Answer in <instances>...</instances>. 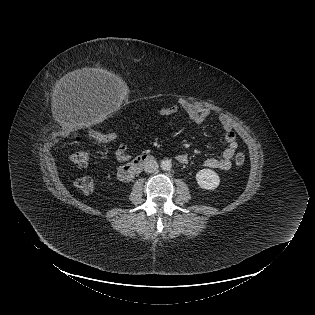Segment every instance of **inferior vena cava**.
<instances>
[{
	"instance_id": "1",
	"label": "inferior vena cava",
	"mask_w": 315,
	"mask_h": 315,
	"mask_svg": "<svg viewBox=\"0 0 315 315\" xmlns=\"http://www.w3.org/2000/svg\"><path fill=\"white\" fill-rule=\"evenodd\" d=\"M158 163L155 160H148L144 164V171L147 173H152L157 171Z\"/></svg>"
}]
</instances>
